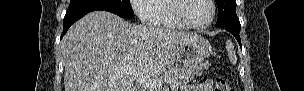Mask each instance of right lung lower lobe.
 <instances>
[{"mask_svg": "<svg viewBox=\"0 0 304 91\" xmlns=\"http://www.w3.org/2000/svg\"><path fill=\"white\" fill-rule=\"evenodd\" d=\"M96 10L109 11L115 14L114 10L109 4L95 0H77L70 3L64 17V27L61 38L66 34L67 30L74 22L82 18L84 15Z\"/></svg>", "mask_w": 304, "mask_h": 91, "instance_id": "98d812e1", "label": "right lung lower lobe"}]
</instances>
